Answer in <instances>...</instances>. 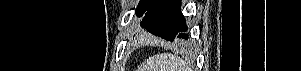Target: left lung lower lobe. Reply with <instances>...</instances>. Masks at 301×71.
Segmentation results:
<instances>
[{
    "mask_svg": "<svg viewBox=\"0 0 301 71\" xmlns=\"http://www.w3.org/2000/svg\"><path fill=\"white\" fill-rule=\"evenodd\" d=\"M180 9L181 0H160L144 15L141 27L167 41L187 45L188 28Z\"/></svg>",
    "mask_w": 301,
    "mask_h": 71,
    "instance_id": "0a47b994",
    "label": "left lung lower lobe"
}]
</instances>
